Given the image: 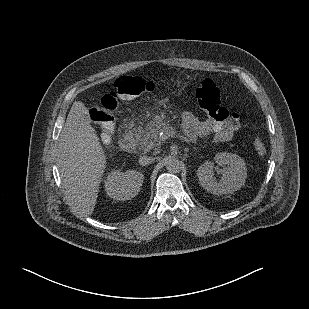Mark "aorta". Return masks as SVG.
<instances>
[{"instance_id":"1","label":"aorta","mask_w":309,"mask_h":309,"mask_svg":"<svg viewBox=\"0 0 309 309\" xmlns=\"http://www.w3.org/2000/svg\"><path fill=\"white\" fill-rule=\"evenodd\" d=\"M182 162L174 157H168L165 160V167L170 173H179L182 170Z\"/></svg>"}]
</instances>
